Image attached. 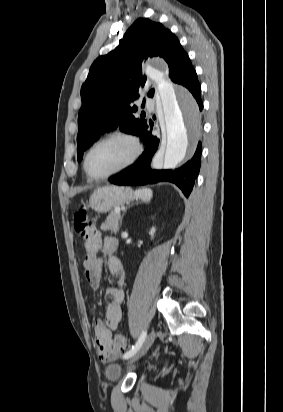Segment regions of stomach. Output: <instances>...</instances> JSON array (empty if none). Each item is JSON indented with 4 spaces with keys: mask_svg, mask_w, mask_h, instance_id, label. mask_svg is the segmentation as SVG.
Segmentation results:
<instances>
[{
    "mask_svg": "<svg viewBox=\"0 0 283 412\" xmlns=\"http://www.w3.org/2000/svg\"><path fill=\"white\" fill-rule=\"evenodd\" d=\"M135 194L130 188L104 186L97 188L90 196L89 206L97 213H107L114 207L134 200Z\"/></svg>",
    "mask_w": 283,
    "mask_h": 412,
    "instance_id": "0dacf381",
    "label": "stomach"
}]
</instances>
